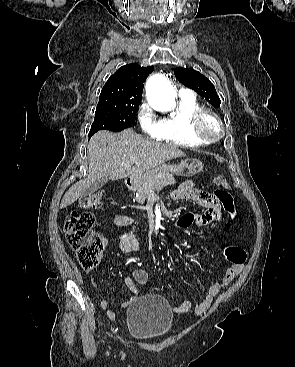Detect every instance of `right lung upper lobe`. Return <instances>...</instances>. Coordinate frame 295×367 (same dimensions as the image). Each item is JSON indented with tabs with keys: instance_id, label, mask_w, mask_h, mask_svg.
<instances>
[{
	"instance_id": "obj_1",
	"label": "right lung upper lobe",
	"mask_w": 295,
	"mask_h": 367,
	"mask_svg": "<svg viewBox=\"0 0 295 367\" xmlns=\"http://www.w3.org/2000/svg\"><path fill=\"white\" fill-rule=\"evenodd\" d=\"M154 67L131 63L120 67L102 88L100 99L141 101L143 84Z\"/></svg>"
}]
</instances>
